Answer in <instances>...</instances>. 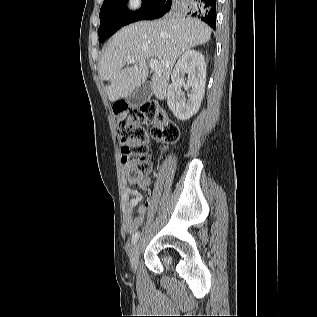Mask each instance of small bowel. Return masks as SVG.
Wrapping results in <instances>:
<instances>
[{
    "label": "small bowel",
    "instance_id": "obj_1",
    "mask_svg": "<svg viewBox=\"0 0 317 317\" xmlns=\"http://www.w3.org/2000/svg\"><path fill=\"white\" fill-rule=\"evenodd\" d=\"M141 189H146L149 185V178L145 177L136 182ZM130 200L125 209L124 226L128 233H133L144 221L148 203L142 205L138 210V215L133 217L134 209L142 200L141 194L136 190H128Z\"/></svg>",
    "mask_w": 317,
    "mask_h": 317
}]
</instances>
